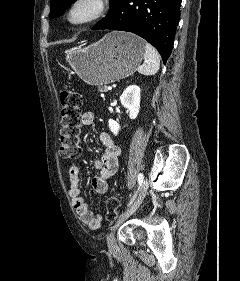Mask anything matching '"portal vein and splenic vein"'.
<instances>
[{
	"instance_id": "portal-vein-and-splenic-vein-1",
	"label": "portal vein and splenic vein",
	"mask_w": 240,
	"mask_h": 281,
	"mask_svg": "<svg viewBox=\"0 0 240 281\" xmlns=\"http://www.w3.org/2000/svg\"><path fill=\"white\" fill-rule=\"evenodd\" d=\"M107 90H112V86H108V87H107Z\"/></svg>"
}]
</instances>
